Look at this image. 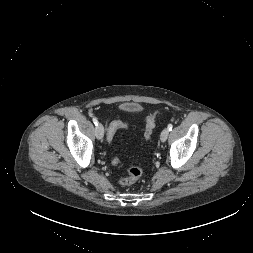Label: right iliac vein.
I'll use <instances>...</instances> for the list:
<instances>
[{
	"mask_svg": "<svg viewBox=\"0 0 253 253\" xmlns=\"http://www.w3.org/2000/svg\"><path fill=\"white\" fill-rule=\"evenodd\" d=\"M95 134H96L97 139L100 140V139L103 138V136H104V127H103L102 124L97 125V128L95 130Z\"/></svg>",
	"mask_w": 253,
	"mask_h": 253,
	"instance_id": "63e3f726",
	"label": "right iliac vein"
}]
</instances>
